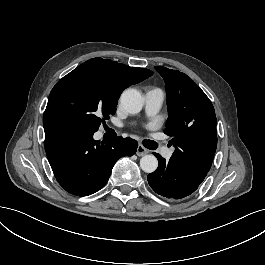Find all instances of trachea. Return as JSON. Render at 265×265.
I'll list each match as a JSON object with an SVG mask.
<instances>
[{
    "label": "trachea",
    "instance_id": "obj_1",
    "mask_svg": "<svg viewBox=\"0 0 265 265\" xmlns=\"http://www.w3.org/2000/svg\"><path fill=\"white\" fill-rule=\"evenodd\" d=\"M144 144L145 145H150L151 146V149H155L156 148V145L158 146L157 143H155L154 141H151V140L144 141Z\"/></svg>",
    "mask_w": 265,
    "mask_h": 265
}]
</instances>
